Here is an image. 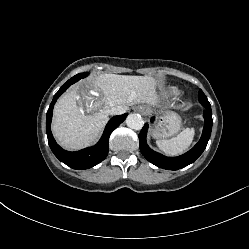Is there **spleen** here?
I'll return each mask as SVG.
<instances>
[{
  "label": "spleen",
  "instance_id": "obj_1",
  "mask_svg": "<svg viewBox=\"0 0 249 249\" xmlns=\"http://www.w3.org/2000/svg\"><path fill=\"white\" fill-rule=\"evenodd\" d=\"M195 135L194 128H186L179 135L171 139L158 140L156 144L160 151L169 156L180 155L191 145Z\"/></svg>",
  "mask_w": 249,
  "mask_h": 249
}]
</instances>
